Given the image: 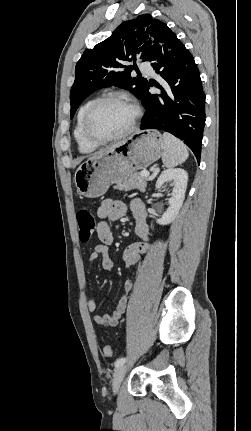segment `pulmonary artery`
Segmentation results:
<instances>
[{
    "label": "pulmonary artery",
    "mask_w": 251,
    "mask_h": 431,
    "mask_svg": "<svg viewBox=\"0 0 251 431\" xmlns=\"http://www.w3.org/2000/svg\"><path fill=\"white\" fill-rule=\"evenodd\" d=\"M140 70H141L143 73L147 74V75H151V76H153V75L155 74V72H154V70H153L152 66H151L150 64H148V63H142V64L140 65Z\"/></svg>",
    "instance_id": "obj_1"
}]
</instances>
